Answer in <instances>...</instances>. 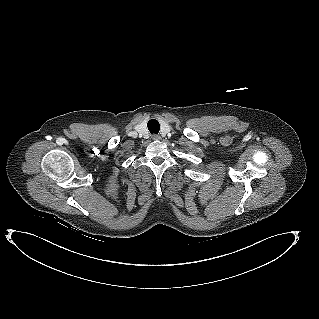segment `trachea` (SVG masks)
Instances as JSON below:
<instances>
[{"label": "trachea", "mask_w": 319, "mask_h": 319, "mask_svg": "<svg viewBox=\"0 0 319 319\" xmlns=\"http://www.w3.org/2000/svg\"><path fill=\"white\" fill-rule=\"evenodd\" d=\"M147 127H148V130L150 131V133H152V134H158V132L160 130V124L155 119L149 120L147 123Z\"/></svg>", "instance_id": "1"}]
</instances>
